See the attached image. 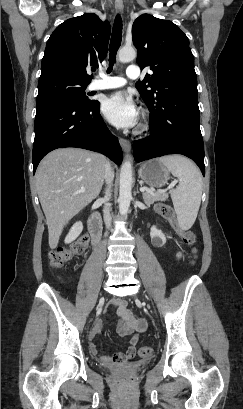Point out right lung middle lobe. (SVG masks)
<instances>
[{"label":"right lung middle lobe","mask_w":243,"mask_h":409,"mask_svg":"<svg viewBox=\"0 0 243 409\" xmlns=\"http://www.w3.org/2000/svg\"><path fill=\"white\" fill-rule=\"evenodd\" d=\"M87 85L64 76L39 79L36 104L49 100H71L80 104H88L93 100H89L86 96Z\"/></svg>","instance_id":"dd1d6c3e"}]
</instances>
